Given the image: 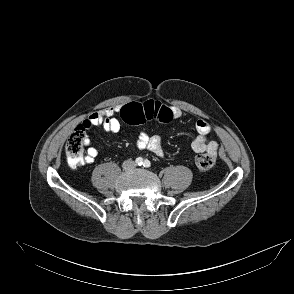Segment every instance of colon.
Listing matches in <instances>:
<instances>
[{
  "label": "colon",
  "instance_id": "obj_1",
  "mask_svg": "<svg viewBox=\"0 0 294 294\" xmlns=\"http://www.w3.org/2000/svg\"><path fill=\"white\" fill-rule=\"evenodd\" d=\"M120 116L129 124H141L148 120L168 122L173 119L171 109L158 101L129 103L121 108ZM84 140L85 130L82 126L75 128L68 137L65 151L67 162L72 168H76L84 163ZM215 162L216 156L212 153L199 154L195 160L197 168L203 172L210 170Z\"/></svg>",
  "mask_w": 294,
  "mask_h": 294
}]
</instances>
